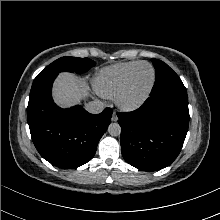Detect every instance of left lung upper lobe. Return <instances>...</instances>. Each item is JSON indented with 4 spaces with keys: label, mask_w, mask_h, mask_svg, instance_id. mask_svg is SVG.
<instances>
[{
    "label": "left lung upper lobe",
    "mask_w": 220,
    "mask_h": 220,
    "mask_svg": "<svg viewBox=\"0 0 220 220\" xmlns=\"http://www.w3.org/2000/svg\"><path fill=\"white\" fill-rule=\"evenodd\" d=\"M156 70L155 85L151 96H171L188 101L187 91L179 76L164 62L152 58Z\"/></svg>",
    "instance_id": "1"
}]
</instances>
